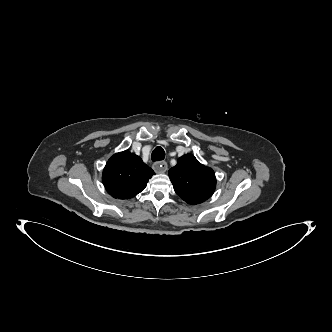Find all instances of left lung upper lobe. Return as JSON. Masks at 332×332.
<instances>
[{"label":"left lung upper lobe","mask_w":332,"mask_h":332,"mask_svg":"<svg viewBox=\"0 0 332 332\" xmlns=\"http://www.w3.org/2000/svg\"><path fill=\"white\" fill-rule=\"evenodd\" d=\"M168 175L175 192L188 204H199L210 198L216 187L214 171L199 163L192 154L183 155Z\"/></svg>","instance_id":"5c2ea615"}]
</instances>
